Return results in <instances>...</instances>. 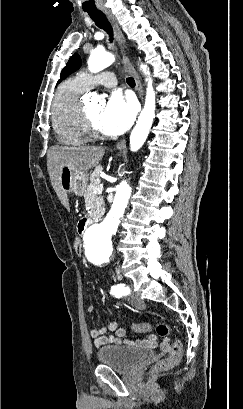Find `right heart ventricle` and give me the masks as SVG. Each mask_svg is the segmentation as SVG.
Segmentation results:
<instances>
[{"label":"right heart ventricle","instance_id":"right-heart-ventricle-1","mask_svg":"<svg viewBox=\"0 0 243 409\" xmlns=\"http://www.w3.org/2000/svg\"><path fill=\"white\" fill-rule=\"evenodd\" d=\"M88 86L73 77L58 88L52 103V124L59 140L67 145H81L89 138L83 119L82 96Z\"/></svg>","mask_w":243,"mask_h":409}]
</instances>
